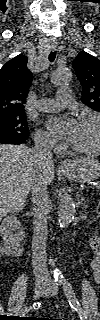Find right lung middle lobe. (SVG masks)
<instances>
[{
  "label": "right lung middle lobe",
  "mask_w": 100,
  "mask_h": 320,
  "mask_svg": "<svg viewBox=\"0 0 100 320\" xmlns=\"http://www.w3.org/2000/svg\"><path fill=\"white\" fill-rule=\"evenodd\" d=\"M28 134L25 116L0 119V141L8 138L27 139Z\"/></svg>",
  "instance_id": "obj_1"
}]
</instances>
